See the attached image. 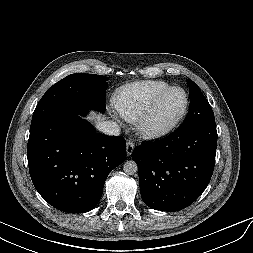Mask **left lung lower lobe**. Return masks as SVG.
<instances>
[{
	"label": "left lung lower lobe",
	"instance_id": "obj_1",
	"mask_svg": "<svg viewBox=\"0 0 253 253\" xmlns=\"http://www.w3.org/2000/svg\"><path fill=\"white\" fill-rule=\"evenodd\" d=\"M217 147L215 122L176 129L164 139L134 149L142 200L150 208L178 211L208 186Z\"/></svg>",
	"mask_w": 253,
	"mask_h": 253
}]
</instances>
